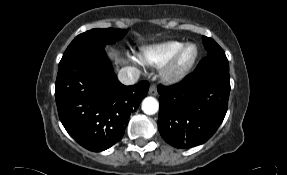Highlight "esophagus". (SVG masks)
I'll return each mask as SVG.
<instances>
[{"mask_svg":"<svg viewBox=\"0 0 287 175\" xmlns=\"http://www.w3.org/2000/svg\"><path fill=\"white\" fill-rule=\"evenodd\" d=\"M149 94H150V95H153V96H155V95L158 94L156 84H152V85L150 86V88H149Z\"/></svg>","mask_w":287,"mask_h":175,"instance_id":"obj_1","label":"esophagus"}]
</instances>
